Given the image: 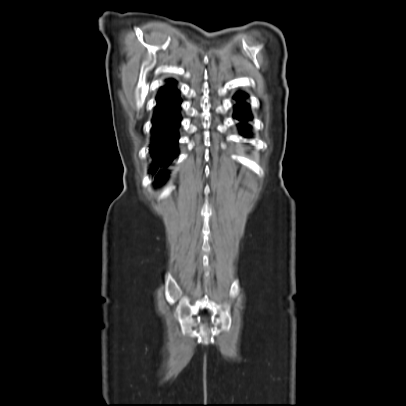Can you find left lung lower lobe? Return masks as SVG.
<instances>
[{"mask_svg": "<svg viewBox=\"0 0 406 406\" xmlns=\"http://www.w3.org/2000/svg\"><path fill=\"white\" fill-rule=\"evenodd\" d=\"M244 98L245 95L242 94H239L235 97V99L237 100L235 118L242 122V124H240L242 128L248 127L245 122H247L251 118L247 104L244 102Z\"/></svg>", "mask_w": 406, "mask_h": 406, "instance_id": "obj_1", "label": "left lung lower lobe"}]
</instances>
